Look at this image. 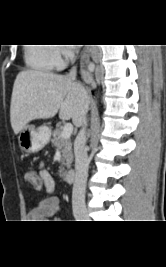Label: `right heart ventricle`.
I'll return each instance as SVG.
<instances>
[{
	"label": "right heart ventricle",
	"mask_w": 166,
	"mask_h": 267,
	"mask_svg": "<svg viewBox=\"0 0 166 267\" xmlns=\"http://www.w3.org/2000/svg\"><path fill=\"white\" fill-rule=\"evenodd\" d=\"M49 44L31 43L27 44L24 49V60L30 69L49 72L54 68L61 66L55 49Z\"/></svg>",
	"instance_id": "obj_1"
}]
</instances>
